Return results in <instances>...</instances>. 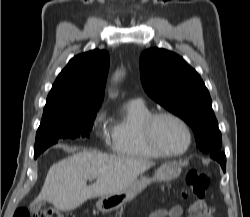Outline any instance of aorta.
Here are the masks:
<instances>
[{"label": "aorta", "mask_w": 250, "mask_h": 217, "mask_svg": "<svg viewBox=\"0 0 250 217\" xmlns=\"http://www.w3.org/2000/svg\"><path fill=\"white\" fill-rule=\"evenodd\" d=\"M123 76V72L121 71H117L113 77V80H118L119 78H121Z\"/></svg>", "instance_id": "1"}]
</instances>
